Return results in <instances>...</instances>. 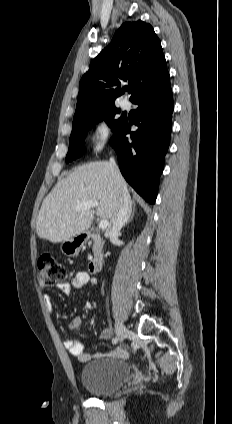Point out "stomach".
<instances>
[{
    "mask_svg": "<svg viewBox=\"0 0 232 424\" xmlns=\"http://www.w3.org/2000/svg\"><path fill=\"white\" fill-rule=\"evenodd\" d=\"M86 239L81 237V235L72 237L67 241H63L61 244V251L64 255L68 257H75L79 254L81 247L84 245Z\"/></svg>",
    "mask_w": 232,
    "mask_h": 424,
    "instance_id": "obj_1",
    "label": "stomach"
}]
</instances>
